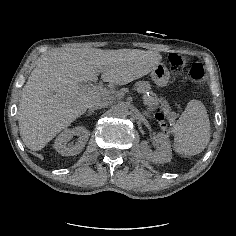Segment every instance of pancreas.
Segmentation results:
<instances>
[{"label":"pancreas","instance_id":"cf45deb5","mask_svg":"<svg viewBox=\"0 0 236 236\" xmlns=\"http://www.w3.org/2000/svg\"><path fill=\"white\" fill-rule=\"evenodd\" d=\"M149 85L145 81L136 84L135 89L138 92L148 90ZM126 91L119 89L118 91H111L105 95V100L111 102L113 99L118 100L119 98L125 97ZM143 103L145 104V111L154 112L160 108L161 99L156 94H152L149 97H144Z\"/></svg>","mask_w":236,"mask_h":236}]
</instances>
